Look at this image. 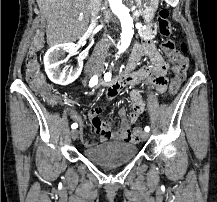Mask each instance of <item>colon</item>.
I'll return each mask as SVG.
<instances>
[{
    "instance_id": "colon-1",
    "label": "colon",
    "mask_w": 217,
    "mask_h": 202,
    "mask_svg": "<svg viewBox=\"0 0 217 202\" xmlns=\"http://www.w3.org/2000/svg\"><path fill=\"white\" fill-rule=\"evenodd\" d=\"M158 30L162 37V48L164 52L169 56V59L174 64L173 73H179L178 79L187 78V70L189 69V60L186 56L187 45L182 44L179 48L175 41L171 39L172 25L170 23V11L167 8H161L158 11ZM45 41V36L38 32L35 36V40L30 42V49L25 58V78L27 82L33 86V91H36L42 98H48L47 102L56 105V103L62 102L61 93H52L54 86H50L45 82L43 76L39 71L38 52L42 47V42ZM152 72H158L152 69ZM168 93L174 96L178 93L180 81L169 80ZM132 132H139V127H132Z\"/></svg>"
}]
</instances>
